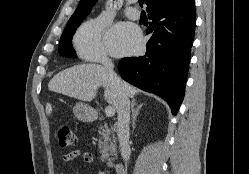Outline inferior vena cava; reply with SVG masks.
I'll return each mask as SVG.
<instances>
[{"label": "inferior vena cava", "mask_w": 249, "mask_h": 174, "mask_svg": "<svg viewBox=\"0 0 249 174\" xmlns=\"http://www.w3.org/2000/svg\"><path fill=\"white\" fill-rule=\"evenodd\" d=\"M102 65L110 75L111 81L117 90V136L120 145L121 155L127 163L129 159V123H130V102L121 80L114 72V64L108 58L102 59Z\"/></svg>", "instance_id": "obj_1"}]
</instances>
